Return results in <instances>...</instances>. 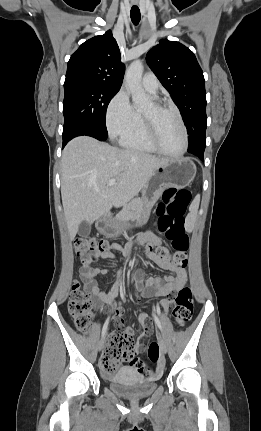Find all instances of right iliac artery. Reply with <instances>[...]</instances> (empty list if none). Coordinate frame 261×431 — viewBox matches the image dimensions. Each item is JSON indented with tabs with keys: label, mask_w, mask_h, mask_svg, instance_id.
<instances>
[{
	"label": "right iliac artery",
	"mask_w": 261,
	"mask_h": 431,
	"mask_svg": "<svg viewBox=\"0 0 261 431\" xmlns=\"http://www.w3.org/2000/svg\"><path fill=\"white\" fill-rule=\"evenodd\" d=\"M124 292H125V289H122L121 292H120L121 297H123ZM108 323H109V317L106 319V321H105V323L103 325V328H102V337H104V335H105V333L107 331Z\"/></svg>",
	"instance_id": "obj_1"
}]
</instances>
